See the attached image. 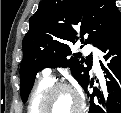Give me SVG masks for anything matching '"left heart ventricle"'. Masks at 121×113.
Returning a JSON list of instances; mask_svg holds the SVG:
<instances>
[{
    "instance_id": "left-heart-ventricle-1",
    "label": "left heart ventricle",
    "mask_w": 121,
    "mask_h": 113,
    "mask_svg": "<svg viewBox=\"0 0 121 113\" xmlns=\"http://www.w3.org/2000/svg\"><path fill=\"white\" fill-rule=\"evenodd\" d=\"M76 98L69 91H60L55 95L51 109L56 112H69L75 108Z\"/></svg>"
}]
</instances>
